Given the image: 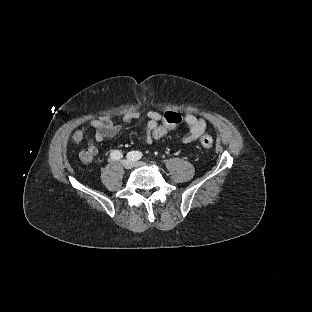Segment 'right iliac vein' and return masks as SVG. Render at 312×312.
<instances>
[{
	"label": "right iliac vein",
	"instance_id": "1",
	"mask_svg": "<svg viewBox=\"0 0 312 312\" xmlns=\"http://www.w3.org/2000/svg\"><path fill=\"white\" fill-rule=\"evenodd\" d=\"M122 165L125 169H131L133 167V162L127 159L122 162Z\"/></svg>",
	"mask_w": 312,
	"mask_h": 312
}]
</instances>
